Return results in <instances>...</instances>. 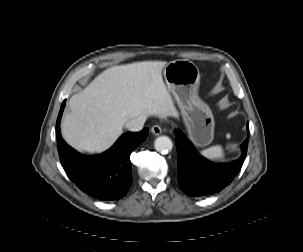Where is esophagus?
I'll list each match as a JSON object with an SVG mask.
<instances>
[{
  "label": "esophagus",
  "mask_w": 303,
  "mask_h": 252,
  "mask_svg": "<svg viewBox=\"0 0 303 252\" xmlns=\"http://www.w3.org/2000/svg\"><path fill=\"white\" fill-rule=\"evenodd\" d=\"M151 132L152 134L158 136L162 133V128L160 125H154L152 128H151Z\"/></svg>",
  "instance_id": "obj_1"
}]
</instances>
